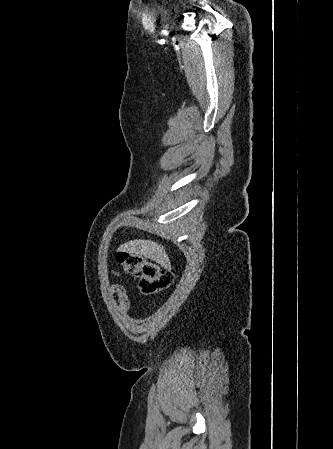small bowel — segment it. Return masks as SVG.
Instances as JSON below:
<instances>
[{
	"mask_svg": "<svg viewBox=\"0 0 333 449\" xmlns=\"http://www.w3.org/2000/svg\"><path fill=\"white\" fill-rule=\"evenodd\" d=\"M111 273L117 277H123L118 271L112 270ZM108 293L111 296H116L118 309L122 314H125L129 309V298L125 287L121 284L114 283L108 288Z\"/></svg>",
	"mask_w": 333,
	"mask_h": 449,
	"instance_id": "small-bowel-1",
	"label": "small bowel"
}]
</instances>
